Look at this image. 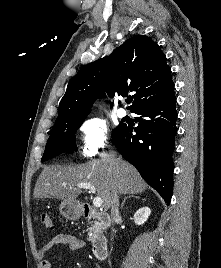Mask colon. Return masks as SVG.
Instances as JSON below:
<instances>
[{"label": "colon", "instance_id": "5ec220e1", "mask_svg": "<svg viewBox=\"0 0 221 268\" xmlns=\"http://www.w3.org/2000/svg\"><path fill=\"white\" fill-rule=\"evenodd\" d=\"M41 222L47 229L54 228L53 221H52L51 217L49 216V214H47V213L41 214Z\"/></svg>", "mask_w": 221, "mask_h": 268}]
</instances>
